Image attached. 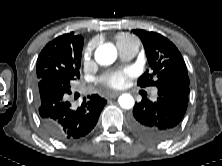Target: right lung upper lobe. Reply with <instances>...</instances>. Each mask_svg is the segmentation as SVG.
Listing matches in <instances>:
<instances>
[{"label": "right lung upper lobe", "instance_id": "obj_1", "mask_svg": "<svg viewBox=\"0 0 222 166\" xmlns=\"http://www.w3.org/2000/svg\"><path fill=\"white\" fill-rule=\"evenodd\" d=\"M71 34H64L62 36H59L55 38L53 41L49 42L48 45H57V46H64L66 45L71 39Z\"/></svg>", "mask_w": 222, "mask_h": 166}]
</instances>
